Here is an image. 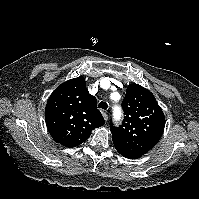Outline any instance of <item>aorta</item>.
Returning a JSON list of instances; mask_svg holds the SVG:
<instances>
[{
    "label": "aorta",
    "mask_w": 199,
    "mask_h": 199,
    "mask_svg": "<svg viewBox=\"0 0 199 199\" xmlns=\"http://www.w3.org/2000/svg\"><path fill=\"white\" fill-rule=\"evenodd\" d=\"M120 115H121V110H120V108H119V107H115V108H114V116H115V118H119Z\"/></svg>",
    "instance_id": "obj_1"
}]
</instances>
